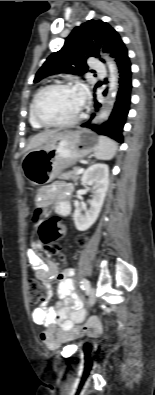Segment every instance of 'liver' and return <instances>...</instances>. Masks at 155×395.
Listing matches in <instances>:
<instances>
[{"instance_id":"1","label":"liver","mask_w":155,"mask_h":395,"mask_svg":"<svg viewBox=\"0 0 155 395\" xmlns=\"http://www.w3.org/2000/svg\"><path fill=\"white\" fill-rule=\"evenodd\" d=\"M57 134H58L57 131L51 130V131H45V132H42V133H39V134L33 136L30 139V141L26 147V151L37 149V148L49 143L51 141V139Z\"/></svg>"}]
</instances>
